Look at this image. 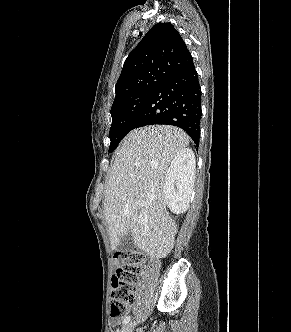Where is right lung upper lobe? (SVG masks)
Returning <instances> with one entry per match:
<instances>
[{
  "mask_svg": "<svg viewBox=\"0 0 291 332\" xmlns=\"http://www.w3.org/2000/svg\"><path fill=\"white\" fill-rule=\"evenodd\" d=\"M192 56L171 23L154 25L129 54L115 85V100L146 89L154 81L192 63Z\"/></svg>",
  "mask_w": 291,
  "mask_h": 332,
  "instance_id": "cb5924a9",
  "label": "right lung upper lobe"
}]
</instances>
